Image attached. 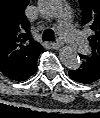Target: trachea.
I'll list each match as a JSON object with an SVG mask.
<instances>
[{"mask_svg": "<svg viewBox=\"0 0 100 118\" xmlns=\"http://www.w3.org/2000/svg\"><path fill=\"white\" fill-rule=\"evenodd\" d=\"M43 41H54V32L52 29H46L42 35Z\"/></svg>", "mask_w": 100, "mask_h": 118, "instance_id": "1", "label": "trachea"}]
</instances>
